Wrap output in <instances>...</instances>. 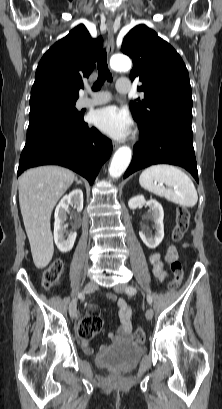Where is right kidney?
<instances>
[{
  "mask_svg": "<svg viewBox=\"0 0 222 409\" xmlns=\"http://www.w3.org/2000/svg\"><path fill=\"white\" fill-rule=\"evenodd\" d=\"M69 205L74 206L78 211L83 209V192L81 189H75L65 195L55 209L54 241L62 253H66L73 248L77 236L76 232L67 233L64 225L69 212Z\"/></svg>",
  "mask_w": 222,
  "mask_h": 409,
  "instance_id": "obj_1",
  "label": "right kidney"
}]
</instances>
